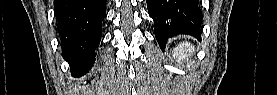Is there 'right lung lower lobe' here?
Here are the masks:
<instances>
[{"label":"right lung lower lobe","instance_id":"obj_1","mask_svg":"<svg viewBox=\"0 0 277 95\" xmlns=\"http://www.w3.org/2000/svg\"><path fill=\"white\" fill-rule=\"evenodd\" d=\"M62 56L75 76L93 65L99 46L106 0H54Z\"/></svg>","mask_w":277,"mask_h":95}]
</instances>
